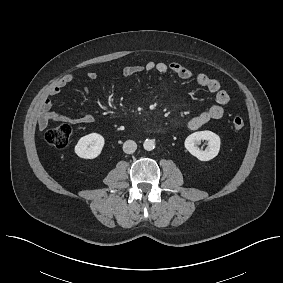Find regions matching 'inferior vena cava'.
<instances>
[{
	"instance_id": "inferior-vena-cava-1",
	"label": "inferior vena cava",
	"mask_w": 283,
	"mask_h": 283,
	"mask_svg": "<svg viewBox=\"0 0 283 283\" xmlns=\"http://www.w3.org/2000/svg\"><path fill=\"white\" fill-rule=\"evenodd\" d=\"M137 144L133 140H127L123 144V151L127 154H132L136 151Z\"/></svg>"
}]
</instances>
